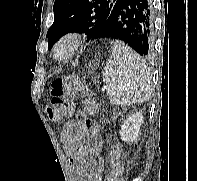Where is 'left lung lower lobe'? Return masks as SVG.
<instances>
[{"label":"left lung lower lobe","instance_id":"obj_1","mask_svg":"<svg viewBox=\"0 0 197 181\" xmlns=\"http://www.w3.org/2000/svg\"><path fill=\"white\" fill-rule=\"evenodd\" d=\"M152 0H117L99 38L121 40L141 56L153 51Z\"/></svg>","mask_w":197,"mask_h":181}]
</instances>
